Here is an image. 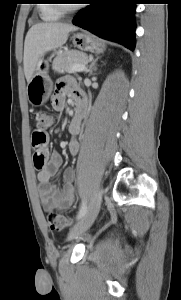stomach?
<instances>
[{"instance_id": "0dacf381", "label": "stomach", "mask_w": 181, "mask_h": 300, "mask_svg": "<svg viewBox=\"0 0 181 300\" xmlns=\"http://www.w3.org/2000/svg\"><path fill=\"white\" fill-rule=\"evenodd\" d=\"M72 42L80 51L102 53L105 49L101 41L85 32L73 34ZM48 67L47 61L41 60L36 73L28 83V100L34 106L43 105L51 95L53 83L48 75Z\"/></svg>"}]
</instances>
